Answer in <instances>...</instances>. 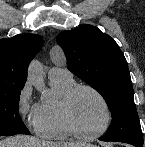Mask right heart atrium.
I'll list each match as a JSON object with an SVG mask.
<instances>
[{
	"instance_id": "obj_1",
	"label": "right heart atrium",
	"mask_w": 145,
	"mask_h": 147,
	"mask_svg": "<svg viewBox=\"0 0 145 147\" xmlns=\"http://www.w3.org/2000/svg\"><path fill=\"white\" fill-rule=\"evenodd\" d=\"M32 89L29 82L25 83L19 91L17 98V112L22 122L32 130L36 131L39 112L38 105L31 101Z\"/></svg>"
}]
</instances>
